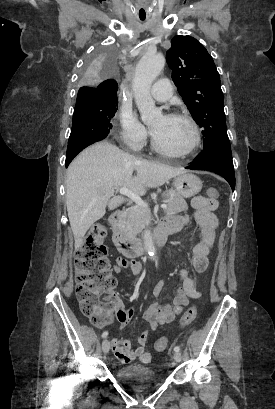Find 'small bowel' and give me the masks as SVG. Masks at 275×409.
I'll use <instances>...</instances> for the list:
<instances>
[{
	"mask_svg": "<svg viewBox=\"0 0 275 409\" xmlns=\"http://www.w3.org/2000/svg\"><path fill=\"white\" fill-rule=\"evenodd\" d=\"M192 207L195 209V220L201 228V239L193 247L192 263L198 273H203L207 270L209 264V254L215 239V231L218 221L215 211L218 207L217 201H211L204 196H196L191 201ZM178 220L180 222V230L187 222L186 216L169 218L165 221ZM172 230V231H177ZM122 268H131L134 273H139L142 270V265L139 262L129 263L119 261L116 265L114 273L119 275ZM179 276L182 284L177 288L173 298V304L151 303L143 312V319L148 324L147 331H142L138 338V348L132 350L133 339L119 337L114 339L113 345L116 352V359L120 363H127L131 360H142L144 366H151L153 359L151 353L144 350L145 341L150 330H155L159 325L173 321L175 316L179 314L184 307L189 304L191 299L199 298L201 292L196 288V279L188 270L180 269ZM165 283L159 282L153 292L155 296H159L165 289ZM116 319L119 320L122 327H128L133 322L134 308L126 311L125 302L120 300L117 302ZM127 314V316H126Z\"/></svg>",
	"mask_w": 275,
	"mask_h": 409,
	"instance_id": "1",
	"label": "small bowel"
}]
</instances>
